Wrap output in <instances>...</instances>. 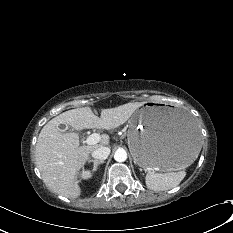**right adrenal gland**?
I'll return each instance as SVG.
<instances>
[{
    "mask_svg": "<svg viewBox=\"0 0 233 233\" xmlns=\"http://www.w3.org/2000/svg\"><path fill=\"white\" fill-rule=\"evenodd\" d=\"M90 162H93V164H94L93 171L97 170V167H98L99 164H103L104 163L103 160L99 161V160H93V159H89L88 163H90Z\"/></svg>",
    "mask_w": 233,
    "mask_h": 233,
    "instance_id": "2a0ac1e0",
    "label": "right adrenal gland"
}]
</instances>
